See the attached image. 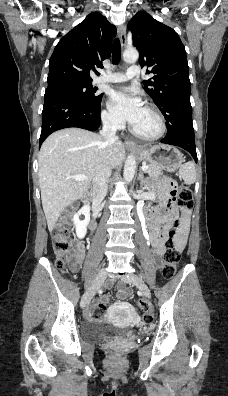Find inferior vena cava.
<instances>
[{
  "mask_svg": "<svg viewBox=\"0 0 228 396\" xmlns=\"http://www.w3.org/2000/svg\"><path fill=\"white\" fill-rule=\"evenodd\" d=\"M117 125L111 120H104L100 135L106 144H111L118 141L116 136ZM111 166L106 163L102 166L96 177L93 179L92 192L95 200H102L108 190V180L111 175Z\"/></svg>",
  "mask_w": 228,
  "mask_h": 396,
  "instance_id": "1",
  "label": "inferior vena cava"
}]
</instances>
